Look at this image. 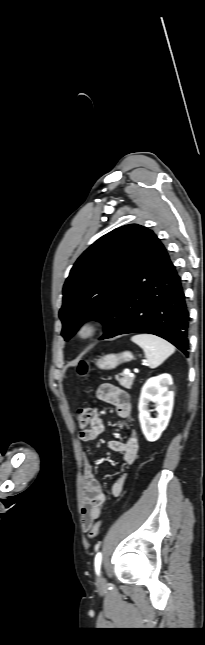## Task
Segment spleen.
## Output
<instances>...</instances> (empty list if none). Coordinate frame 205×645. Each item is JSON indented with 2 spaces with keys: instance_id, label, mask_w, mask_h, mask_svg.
<instances>
[{
  "instance_id": "obj_1",
  "label": "spleen",
  "mask_w": 205,
  "mask_h": 645,
  "mask_svg": "<svg viewBox=\"0 0 205 645\" xmlns=\"http://www.w3.org/2000/svg\"><path fill=\"white\" fill-rule=\"evenodd\" d=\"M131 340L144 350L148 365L152 369L157 368L175 352L172 344L155 335L138 334Z\"/></svg>"
}]
</instances>
